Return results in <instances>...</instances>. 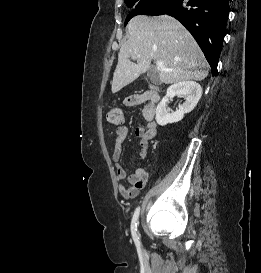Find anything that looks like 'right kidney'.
<instances>
[{"label": "right kidney", "mask_w": 261, "mask_h": 273, "mask_svg": "<svg viewBox=\"0 0 261 273\" xmlns=\"http://www.w3.org/2000/svg\"><path fill=\"white\" fill-rule=\"evenodd\" d=\"M176 95L185 96L186 101L179 105V109L176 112H170L167 108L168 100ZM201 96L202 87L197 82L182 81L171 85L156 108V122L160 126H165L166 124L182 120L185 114L191 112L196 107Z\"/></svg>", "instance_id": "obj_1"}]
</instances>
